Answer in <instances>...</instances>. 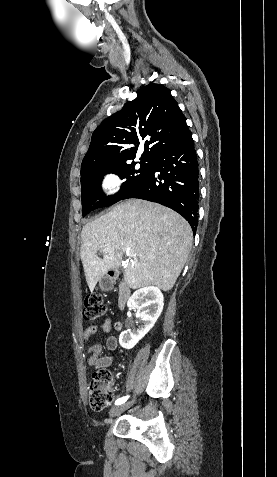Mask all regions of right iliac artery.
Listing matches in <instances>:
<instances>
[{
    "label": "right iliac artery",
    "mask_w": 277,
    "mask_h": 477,
    "mask_svg": "<svg viewBox=\"0 0 277 477\" xmlns=\"http://www.w3.org/2000/svg\"><path fill=\"white\" fill-rule=\"evenodd\" d=\"M128 398H129V396L119 398L118 400H116L115 404L120 405V404L124 403L125 401H127Z\"/></svg>",
    "instance_id": "obj_1"
}]
</instances>
